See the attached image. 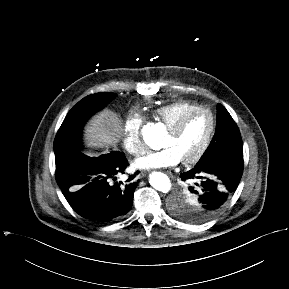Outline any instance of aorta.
<instances>
[{"label": "aorta", "mask_w": 289, "mask_h": 289, "mask_svg": "<svg viewBox=\"0 0 289 289\" xmlns=\"http://www.w3.org/2000/svg\"><path fill=\"white\" fill-rule=\"evenodd\" d=\"M162 131L160 124H149L145 126L142 130L145 143L152 149H160L162 146ZM149 182L154 189L163 193H167L171 189L170 179L161 172H153L150 175Z\"/></svg>", "instance_id": "aorta-1"}]
</instances>
